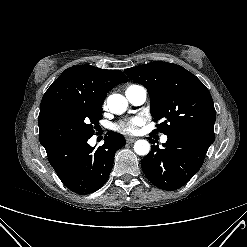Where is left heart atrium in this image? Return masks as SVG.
Returning <instances> with one entry per match:
<instances>
[{
	"label": "left heart atrium",
	"mask_w": 247,
	"mask_h": 247,
	"mask_svg": "<svg viewBox=\"0 0 247 247\" xmlns=\"http://www.w3.org/2000/svg\"><path fill=\"white\" fill-rule=\"evenodd\" d=\"M145 119L142 116H135L119 122L114 126L115 130L123 133H135L139 126L144 123Z\"/></svg>",
	"instance_id": "obj_1"
}]
</instances>
